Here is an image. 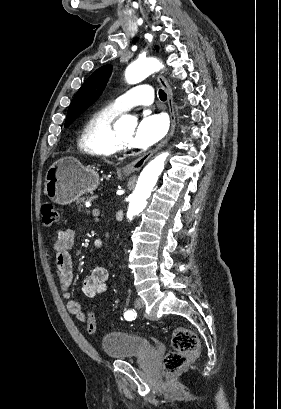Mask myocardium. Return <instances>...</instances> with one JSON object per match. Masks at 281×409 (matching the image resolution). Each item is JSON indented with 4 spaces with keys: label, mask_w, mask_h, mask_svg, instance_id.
<instances>
[{
    "label": "myocardium",
    "mask_w": 281,
    "mask_h": 409,
    "mask_svg": "<svg viewBox=\"0 0 281 409\" xmlns=\"http://www.w3.org/2000/svg\"><path fill=\"white\" fill-rule=\"evenodd\" d=\"M110 143L114 154L125 155L133 150V147H128L124 144L123 140L121 139L118 133L117 128L114 125L111 128Z\"/></svg>",
    "instance_id": "myocardium-1"
}]
</instances>
